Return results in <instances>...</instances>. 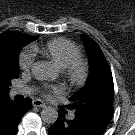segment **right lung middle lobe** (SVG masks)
<instances>
[{"label":"right lung middle lobe","instance_id":"dd1d6c3e","mask_svg":"<svg viewBox=\"0 0 135 135\" xmlns=\"http://www.w3.org/2000/svg\"><path fill=\"white\" fill-rule=\"evenodd\" d=\"M37 38L21 34L13 37L9 43V54L11 61L5 68L0 69V95L7 94L11 80L19 76L18 56L21 48Z\"/></svg>","mask_w":135,"mask_h":135}]
</instances>
